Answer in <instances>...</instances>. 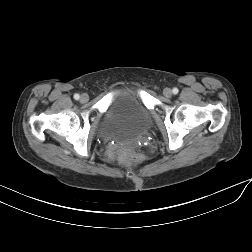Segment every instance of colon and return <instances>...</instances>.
I'll list each match as a JSON object with an SVG mask.
<instances>
[{
  "label": "colon",
  "instance_id": "1",
  "mask_svg": "<svg viewBox=\"0 0 252 252\" xmlns=\"http://www.w3.org/2000/svg\"><path fill=\"white\" fill-rule=\"evenodd\" d=\"M119 158L125 163H138L141 161V154L132 147H123L120 150Z\"/></svg>",
  "mask_w": 252,
  "mask_h": 252
}]
</instances>
